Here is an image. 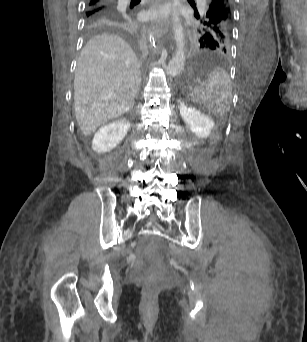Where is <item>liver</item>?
<instances>
[{"mask_svg":"<svg viewBox=\"0 0 307 342\" xmlns=\"http://www.w3.org/2000/svg\"><path fill=\"white\" fill-rule=\"evenodd\" d=\"M141 86L140 64L129 44L113 34L84 46L74 78L76 120L84 136L130 110Z\"/></svg>","mask_w":307,"mask_h":342,"instance_id":"1","label":"liver"}]
</instances>
